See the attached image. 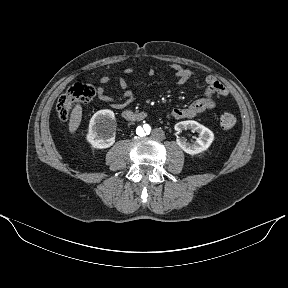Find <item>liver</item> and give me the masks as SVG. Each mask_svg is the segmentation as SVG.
I'll list each match as a JSON object with an SVG mask.
<instances>
[{"label":"liver","mask_w":288,"mask_h":288,"mask_svg":"<svg viewBox=\"0 0 288 288\" xmlns=\"http://www.w3.org/2000/svg\"><path fill=\"white\" fill-rule=\"evenodd\" d=\"M82 119V107L77 104L71 112V117L69 121V132L74 133L80 125Z\"/></svg>","instance_id":"6515ba94"}]
</instances>
